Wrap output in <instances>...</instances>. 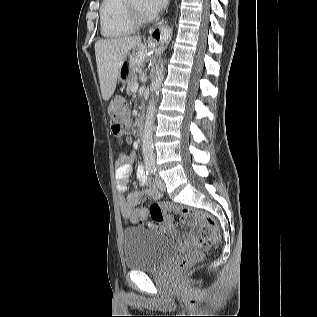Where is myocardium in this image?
<instances>
[{"label":"myocardium","instance_id":"1","mask_svg":"<svg viewBox=\"0 0 317 317\" xmlns=\"http://www.w3.org/2000/svg\"><path fill=\"white\" fill-rule=\"evenodd\" d=\"M126 9L128 16L130 18V21L134 25V27H143L145 26L149 21L150 18L141 14L133 5L131 0H126Z\"/></svg>","mask_w":317,"mask_h":317}]
</instances>
